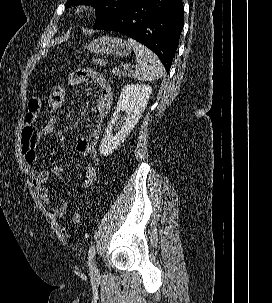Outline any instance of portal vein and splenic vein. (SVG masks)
Here are the masks:
<instances>
[{"instance_id":"obj_1","label":"portal vein and splenic vein","mask_w":272,"mask_h":303,"mask_svg":"<svg viewBox=\"0 0 272 303\" xmlns=\"http://www.w3.org/2000/svg\"><path fill=\"white\" fill-rule=\"evenodd\" d=\"M123 67H124V69L129 70V65L128 64L124 65Z\"/></svg>"}]
</instances>
